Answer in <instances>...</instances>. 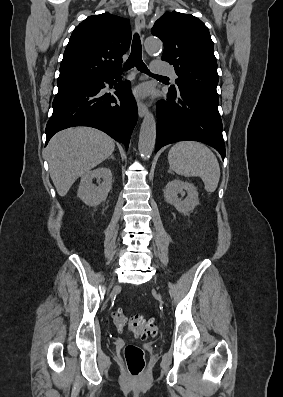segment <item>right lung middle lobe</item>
<instances>
[{
  "label": "right lung middle lobe",
  "instance_id": "dd1d6c3e",
  "mask_svg": "<svg viewBox=\"0 0 283 397\" xmlns=\"http://www.w3.org/2000/svg\"><path fill=\"white\" fill-rule=\"evenodd\" d=\"M81 82H83V81H81ZM57 84H58V87L69 85V84H62V83H57ZM70 84H72V83H70Z\"/></svg>",
  "mask_w": 283,
  "mask_h": 397
}]
</instances>
